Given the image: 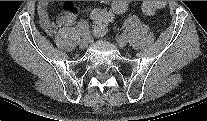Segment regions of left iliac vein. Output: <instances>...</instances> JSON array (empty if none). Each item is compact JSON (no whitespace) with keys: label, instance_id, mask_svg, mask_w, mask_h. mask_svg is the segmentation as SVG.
Instances as JSON below:
<instances>
[{"label":"left iliac vein","instance_id":"4c4485c4","mask_svg":"<svg viewBox=\"0 0 207 121\" xmlns=\"http://www.w3.org/2000/svg\"><path fill=\"white\" fill-rule=\"evenodd\" d=\"M116 42L121 48H124L127 45L128 41L124 35H120L116 38Z\"/></svg>","mask_w":207,"mask_h":121}]
</instances>
